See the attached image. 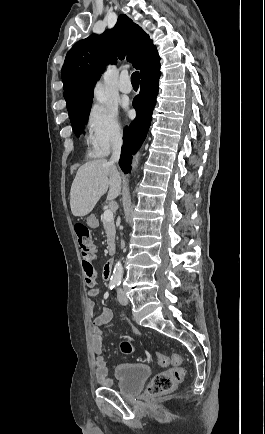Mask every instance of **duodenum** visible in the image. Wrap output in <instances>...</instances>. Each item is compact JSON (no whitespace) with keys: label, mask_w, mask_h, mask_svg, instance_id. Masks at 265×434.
Instances as JSON below:
<instances>
[{"label":"duodenum","mask_w":265,"mask_h":434,"mask_svg":"<svg viewBox=\"0 0 265 434\" xmlns=\"http://www.w3.org/2000/svg\"><path fill=\"white\" fill-rule=\"evenodd\" d=\"M114 261L108 260L103 268V278L109 280L113 272Z\"/></svg>","instance_id":"1"}]
</instances>
